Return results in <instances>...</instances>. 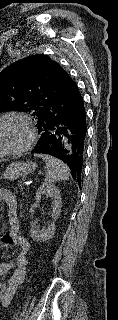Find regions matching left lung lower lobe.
<instances>
[{"instance_id": "0a47b994", "label": "left lung lower lobe", "mask_w": 118, "mask_h": 320, "mask_svg": "<svg viewBox=\"0 0 118 320\" xmlns=\"http://www.w3.org/2000/svg\"><path fill=\"white\" fill-rule=\"evenodd\" d=\"M37 129L41 137L32 152L60 159L68 166L73 179L80 182L87 125L83 98L74 81L38 120Z\"/></svg>"}]
</instances>
